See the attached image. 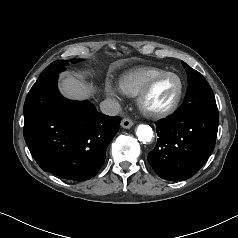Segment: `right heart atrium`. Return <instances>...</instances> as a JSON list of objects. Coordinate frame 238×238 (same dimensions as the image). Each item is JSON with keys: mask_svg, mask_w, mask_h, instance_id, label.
<instances>
[{"mask_svg": "<svg viewBox=\"0 0 238 238\" xmlns=\"http://www.w3.org/2000/svg\"><path fill=\"white\" fill-rule=\"evenodd\" d=\"M105 90L109 96H118L120 94L119 88L112 84L106 85Z\"/></svg>", "mask_w": 238, "mask_h": 238, "instance_id": "right-heart-atrium-1", "label": "right heart atrium"}]
</instances>
